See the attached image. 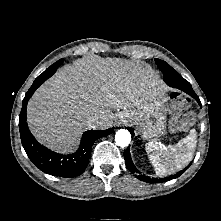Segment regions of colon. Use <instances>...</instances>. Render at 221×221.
I'll list each match as a JSON object with an SVG mask.
<instances>
[{
	"mask_svg": "<svg viewBox=\"0 0 221 221\" xmlns=\"http://www.w3.org/2000/svg\"><path fill=\"white\" fill-rule=\"evenodd\" d=\"M188 100L184 96H176L172 100V118L170 121V130L179 131L188 125L189 117H185L184 111L188 108Z\"/></svg>",
	"mask_w": 221,
	"mask_h": 221,
	"instance_id": "colon-1",
	"label": "colon"
}]
</instances>
